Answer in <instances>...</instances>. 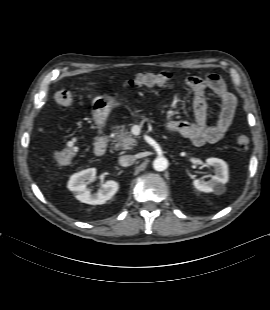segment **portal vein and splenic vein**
<instances>
[{
    "label": "portal vein and splenic vein",
    "instance_id": "18ae733b",
    "mask_svg": "<svg viewBox=\"0 0 270 310\" xmlns=\"http://www.w3.org/2000/svg\"><path fill=\"white\" fill-rule=\"evenodd\" d=\"M133 131H134V134H135V135H139V133H140V128H139L138 126H135L134 129H133Z\"/></svg>",
    "mask_w": 270,
    "mask_h": 310
}]
</instances>
